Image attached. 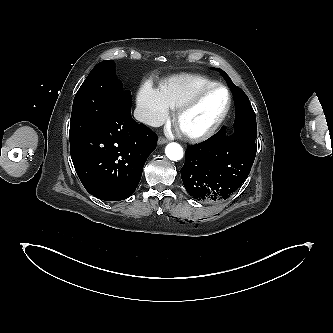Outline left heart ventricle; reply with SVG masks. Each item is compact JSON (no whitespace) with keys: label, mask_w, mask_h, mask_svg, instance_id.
Listing matches in <instances>:
<instances>
[{"label":"left heart ventricle","mask_w":333,"mask_h":333,"mask_svg":"<svg viewBox=\"0 0 333 333\" xmlns=\"http://www.w3.org/2000/svg\"><path fill=\"white\" fill-rule=\"evenodd\" d=\"M227 103V94L217 89L207 94L199 104L181 120L185 131L197 132L209 127L222 113Z\"/></svg>","instance_id":"left-heart-ventricle-1"}]
</instances>
